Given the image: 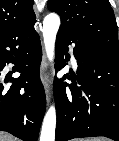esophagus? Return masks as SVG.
<instances>
[{
  "label": "esophagus",
  "instance_id": "34e87169",
  "mask_svg": "<svg viewBox=\"0 0 119 141\" xmlns=\"http://www.w3.org/2000/svg\"><path fill=\"white\" fill-rule=\"evenodd\" d=\"M47 60L46 57L43 56L42 62H41V66H40V76H41V81L43 83L44 89H45V93H46V97H47V101L49 102V97H50V79L46 73L47 70Z\"/></svg>",
  "mask_w": 119,
  "mask_h": 141
}]
</instances>
